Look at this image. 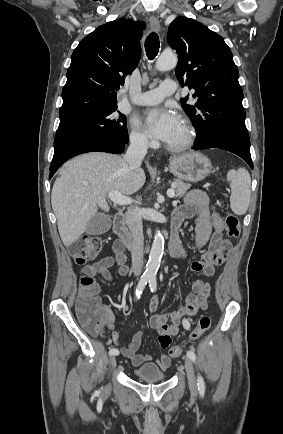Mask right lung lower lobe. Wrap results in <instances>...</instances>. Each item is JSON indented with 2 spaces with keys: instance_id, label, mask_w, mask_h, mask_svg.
<instances>
[{
  "instance_id": "1",
  "label": "right lung lower lobe",
  "mask_w": 283,
  "mask_h": 434,
  "mask_svg": "<svg viewBox=\"0 0 283 434\" xmlns=\"http://www.w3.org/2000/svg\"><path fill=\"white\" fill-rule=\"evenodd\" d=\"M126 142L110 136H90L75 140L67 145L55 150L53 160L50 165L49 178L58 168L68 159L87 152H108L120 154L124 151Z\"/></svg>"
}]
</instances>
